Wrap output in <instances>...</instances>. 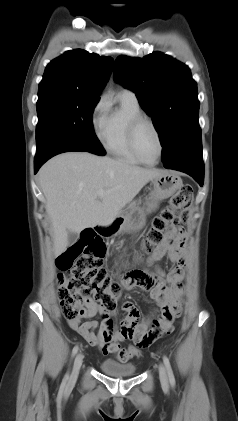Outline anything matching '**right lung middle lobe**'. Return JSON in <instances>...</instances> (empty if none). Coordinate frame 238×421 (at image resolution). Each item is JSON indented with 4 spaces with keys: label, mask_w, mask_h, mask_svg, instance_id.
<instances>
[{
    "label": "right lung middle lobe",
    "mask_w": 238,
    "mask_h": 421,
    "mask_svg": "<svg viewBox=\"0 0 238 421\" xmlns=\"http://www.w3.org/2000/svg\"><path fill=\"white\" fill-rule=\"evenodd\" d=\"M99 96L60 89L38 91L36 146L52 133L61 134L88 152L105 155L92 125Z\"/></svg>",
    "instance_id": "1"
}]
</instances>
